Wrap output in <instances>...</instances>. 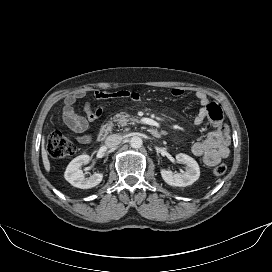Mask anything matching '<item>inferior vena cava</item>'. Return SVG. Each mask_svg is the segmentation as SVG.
Masks as SVG:
<instances>
[{
	"mask_svg": "<svg viewBox=\"0 0 272 272\" xmlns=\"http://www.w3.org/2000/svg\"><path fill=\"white\" fill-rule=\"evenodd\" d=\"M122 141V137L117 134L109 135L105 140V145L109 148L118 146Z\"/></svg>",
	"mask_w": 272,
	"mask_h": 272,
	"instance_id": "inferior-vena-cava-1",
	"label": "inferior vena cava"
}]
</instances>
